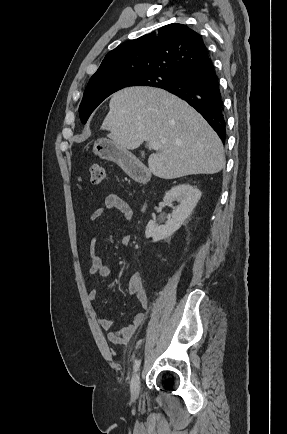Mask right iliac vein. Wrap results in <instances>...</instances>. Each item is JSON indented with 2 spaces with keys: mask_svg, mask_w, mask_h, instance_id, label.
Instances as JSON below:
<instances>
[{
  "mask_svg": "<svg viewBox=\"0 0 287 434\" xmlns=\"http://www.w3.org/2000/svg\"><path fill=\"white\" fill-rule=\"evenodd\" d=\"M131 395L133 397H137L139 394V390H140V373L137 372L136 374H134L132 381H131Z\"/></svg>",
  "mask_w": 287,
  "mask_h": 434,
  "instance_id": "1",
  "label": "right iliac vein"
}]
</instances>
